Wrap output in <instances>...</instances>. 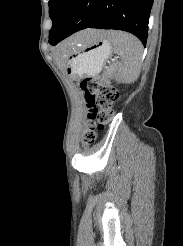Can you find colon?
<instances>
[{"instance_id":"colon-1","label":"colon","mask_w":183,"mask_h":246,"mask_svg":"<svg viewBox=\"0 0 183 246\" xmlns=\"http://www.w3.org/2000/svg\"><path fill=\"white\" fill-rule=\"evenodd\" d=\"M81 89L87 107V123L83 132V145L88 146L96 138V128L102 129L113 118V102L117 94L113 88L94 78L82 80Z\"/></svg>"}]
</instances>
